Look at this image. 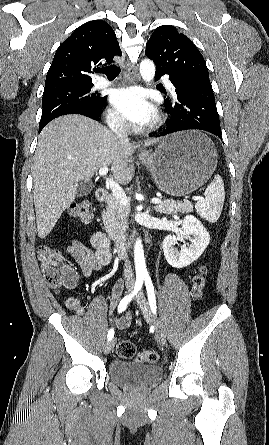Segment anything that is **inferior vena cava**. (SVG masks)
I'll return each instance as SVG.
<instances>
[{
  "mask_svg": "<svg viewBox=\"0 0 269 445\" xmlns=\"http://www.w3.org/2000/svg\"><path fill=\"white\" fill-rule=\"evenodd\" d=\"M113 129L121 141H128V124L123 117L115 118L113 121ZM124 277L127 281L133 280V272L131 269V263L129 261H125Z\"/></svg>",
  "mask_w": 269,
  "mask_h": 445,
  "instance_id": "1",
  "label": "inferior vena cava"
}]
</instances>
